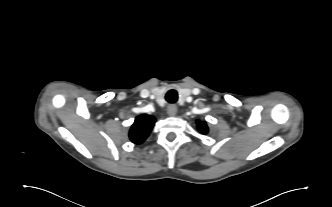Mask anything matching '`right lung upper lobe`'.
<instances>
[{"mask_svg":"<svg viewBox=\"0 0 332 207\" xmlns=\"http://www.w3.org/2000/svg\"><path fill=\"white\" fill-rule=\"evenodd\" d=\"M154 123L155 117L151 115L137 116L129 132L130 140L135 144H141L148 137Z\"/></svg>","mask_w":332,"mask_h":207,"instance_id":"right-lung-upper-lobe-1","label":"right lung upper lobe"}]
</instances>
